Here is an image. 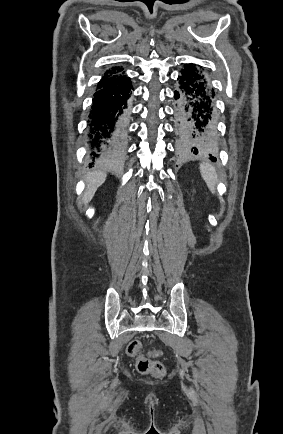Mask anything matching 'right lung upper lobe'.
Instances as JSON below:
<instances>
[{"label":"right lung upper lobe","instance_id":"obj_1","mask_svg":"<svg viewBox=\"0 0 283 434\" xmlns=\"http://www.w3.org/2000/svg\"><path fill=\"white\" fill-rule=\"evenodd\" d=\"M122 69H118L117 67H113L109 72L105 73V77L100 80L98 83L97 88H103V87H109L115 84H118L122 80L125 79L124 76H115L117 72L121 71Z\"/></svg>","mask_w":283,"mask_h":434}]
</instances>
